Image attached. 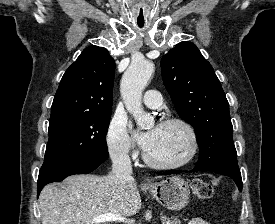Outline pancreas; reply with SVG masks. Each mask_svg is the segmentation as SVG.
I'll list each match as a JSON object with an SVG mask.
<instances>
[{
    "mask_svg": "<svg viewBox=\"0 0 275 224\" xmlns=\"http://www.w3.org/2000/svg\"><path fill=\"white\" fill-rule=\"evenodd\" d=\"M162 224H181V221L178 217L168 218L166 216L161 217Z\"/></svg>",
    "mask_w": 275,
    "mask_h": 224,
    "instance_id": "pancreas-1",
    "label": "pancreas"
}]
</instances>
